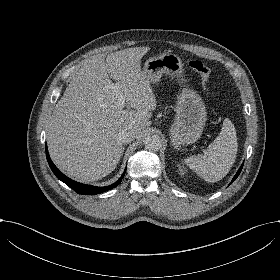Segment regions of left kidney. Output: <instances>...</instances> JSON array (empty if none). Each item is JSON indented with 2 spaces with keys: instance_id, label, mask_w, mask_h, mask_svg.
I'll list each match as a JSON object with an SVG mask.
<instances>
[{
  "instance_id": "5707ae66",
  "label": "left kidney",
  "mask_w": 280,
  "mask_h": 280,
  "mask_svg": "<svg viewBox=\"0 0 280 280\" xmlns=\"http://www.w3.org/2000/svg\"><path fill=\"white\" fill-rule=\"evenodd\" d=\"M175 168H176L178 174L180 175V177L182 179H186V177H187V169H186L185 165L181 161L176 162Z\"/></svg>"
}]
</instances>
